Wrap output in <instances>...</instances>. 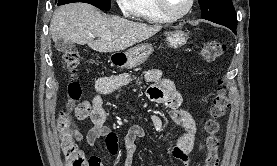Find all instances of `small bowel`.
I'll return each mask as SVG.
<instances>
[{
  "mask_svg": "<svg viewBox=\"0 0 277 166\" xmlns=\"http://www.w3.org/2000/svg\"><path fill=\"white\" fill-rule=\"evenodd\" d=\"M145 80L151 83L146 90V96L150 101L160 103L169 109L171 119L179 126L181 133L171 148L172 156L183 162L186 166L190 163V153L196 140V124L192 115L182 108V96L174 82L162 76L159 69H150L145 74ZM131 82L129 74L99 77L94 84V95L91 101H83L76 107V117L79 120L90 118L93 127L90 128L84 141L88 146H93L99 138H105L108 151L116 155L119 150L118 136L107 124V115L103 108V96L118 92L116 98L124 93V88ZM152 124L157 131L163 130V120L159 115L152 116ZM143 127L132 126L123 136L125 147L124 166H132L133 155L136 150L135 141L145 137ZM92 166H103L99 156L90 158ZM162 166V165H157Z\"/></svg>",
  "mask_w": 277,
  "mask_h": 166,
  "instance_id": "small-bowel-1",
  "label": "small bowel"
}]
</instances>
